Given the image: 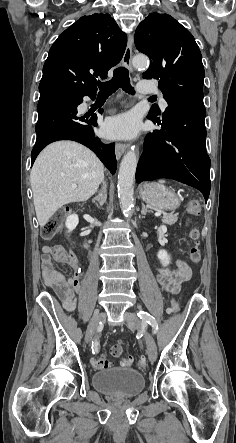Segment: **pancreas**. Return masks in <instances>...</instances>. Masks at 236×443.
<instances>
[{
	"mask_svg": "<svg viewBox=\"0 0 236 443\" xmlns=\"http://www.w3.org/2000/svg\"><path fill=\"white\" fill-rule=\"evenodd\" d=\"M177 220H178V214L164 215L162 217V222L167 225H172L175 222H177Z\"/></svg>",
	"mask_w": 236,
	"mask_h": 443,
	"instance_id": "cf45deb5",
	"label": "pancreas"
}]
</instances>
